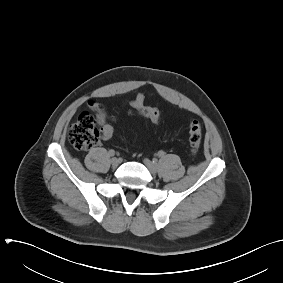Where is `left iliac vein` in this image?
<instances>
[{"label":"left iliac vein","mask_w":283,"mask_h":283,"mask_svg":"<svg viewBox=\"0 0 283 283\" xmlns=\"http://www.w3.org/2000/svg\"><path fill=\"white\" fill-rule=\"evenodd\" d=\"M144 165L148 168V170L152 173V174H156L158 171V165L154 162H152L151 160L145 158L143 160Z\"/></svg>","instance_id":"left-iliac-vein-1"}]
</instances>
